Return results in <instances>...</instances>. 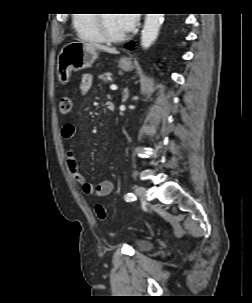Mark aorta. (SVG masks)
<instances>
[{
	"mask_svg": "<svg viewBox=\"0 0 252 303\" xmlns=\"http://www.w3.org/2000/svg\"><path fill=\"white\" fill-rule=\"evenodd\" d=\"M164 14H146L141 33V46L148 49L156 40Z\"/></svg>",
	"mask_w": 252,
	"mask_h": 303,
	"instance_id": "aorta-1",
	"label": "aorta"
}]
</instances>
